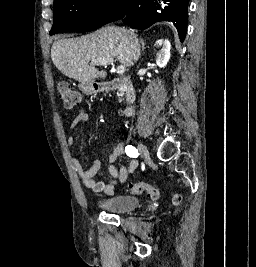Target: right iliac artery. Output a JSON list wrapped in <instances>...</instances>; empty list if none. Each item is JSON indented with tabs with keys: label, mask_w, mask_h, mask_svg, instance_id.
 <instances>
[{
	"label": "right iliac artery",
	"mask_w": 256,
	"mask_h": 267,
	"mask_svg": "<svg viewBox=\"0 0 256 267\" xmlns=\"http://www.w3.org/2000/svg\"><path fill=\"white\" fill-rule=\"evenodd\" d=\"M125 152L129 157H133V158H136L139 155L138 150L131 145L126 146Z\"/></svg>",
	"instance_id": "right-iliac-artery-1"
}]
</instances>
